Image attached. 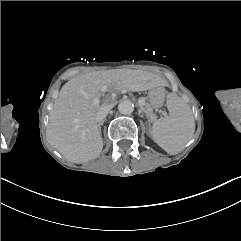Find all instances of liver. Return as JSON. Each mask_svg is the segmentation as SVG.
<instances>
[{
    "label": "liver",
    "mask_w": 241,
    "mask_h": 241,
    "mask_svg": "<svg viewBox=\"0 0 241 241\" xmlns=\"http://www.w3.org/2000/svg\"><path fill=\"white\" fill-rule=\"evenodd\" d=\"M140 74L138 70H104L82 74L67 81L50 112L46 133L49 144L73 163L97 158L103 149V140L96 115L113 107L106 100L101 105L96 103L101 96L100 91L125 88L139 92L157 85L152 75Z\"/></svg>",
    "instance_id": "1"
}]
</instances>
